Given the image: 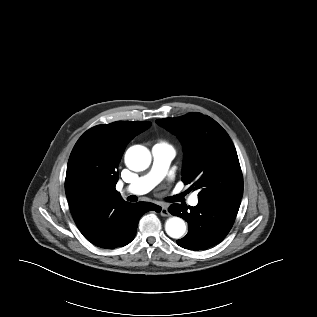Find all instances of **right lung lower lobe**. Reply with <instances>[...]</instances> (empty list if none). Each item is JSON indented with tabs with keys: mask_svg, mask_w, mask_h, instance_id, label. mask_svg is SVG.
I'll use <instances>...</instances> for the list:
<instances>
[{
	"mask_svg": "<svg viewBox=\"0 0 317 317\" xmlns=\"http://www.w3.org/2000/svg\"><path fill=\"white\" fill-rule=\"evenodd\" d=\"M73 219L84 237L105 249L123 247L136 234L141 216L161 207L149 203H128L124 200L104 202L97 195L79 192L68 199Z\"/></svg>",
	"mask_w": 317,
	"mask_h": 317,
	"instance_id": "right-lung-lower-lobe-1",
	"label": "right lung lower lobe"
}]
</instances>
